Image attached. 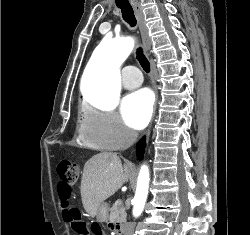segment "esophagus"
I'll return each mask as SVG.
<instances>
[{
	"mask_svg": "<svg viewBox=\"0 0 250 235\" xmlns=\"http://www.w3.org/2000/svg\"><path fill=\"white\" fill-rule=\"evenodd\" d=\"M134 12H135V15H136V18L138 21L144 51L147 54H149L150 49H151V40H150V36H149V31H148V28L146 25V21L144 18V13H143L142 7L139 3L134 5ZM152 73L154 74V67H152ZM150 132H151V130L148 129L146 132V137H149Z\"/></svg>",
	"mask_w": 250,
	"mask_h": 235,
	"instance_id": "34e87169",
	"label": "esophagus"
}]
</instances>
